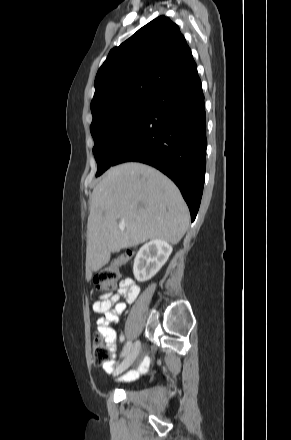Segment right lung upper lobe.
Returning <instances> with one entry per match:
<instances>
[{"label":"right lung upper lobe","instance_id":"1","mask_svg":"<svg viewBox=\"0 0 291 440\" xmlns=\"http://www.w3.org/2000/svg\"><path fill=\"white\" fill-rule=\"evenodd\" d=\"M196 68L178 25L159 16L109 52L95 78L91 110L134 97H155Z\"/></svg>","mask_w":291,"mask_h":440}]
</instances>
